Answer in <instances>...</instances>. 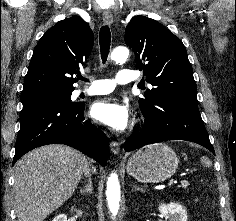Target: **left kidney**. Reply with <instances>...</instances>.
Returning a JSON list of instances; mask_svg holds the SVG:
<instances>
[{
	"label": "left kidney",
	"mask_w": 236,
	"mask_h": 221,
	"mask_svg": "<svg viewBox=\"0 0 236 221\" xmlns=\"http://www.w3.org/2000/svg\"><path fill=\"white\" fill-rule=\"evenodd\" d=\"M159 212L166 221H187V212L179 203L161 204Z\"/></svg>",
	"instance_id": "left-kidney-1"
}]
</instances>
